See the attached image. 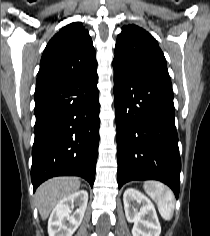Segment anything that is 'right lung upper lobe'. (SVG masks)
Listing matches in <instances>:
<instances>
[{
	"mask_svg": "<svg viewBox=\"0 0 210 236\" xmlns=\"http://www.w3.org/2000/svg\"><path fill=\"white\" fill-rule=\"evenodd\" d=\"M96 68L95 49L88 31L80 22L68 24L54 35L43 52L35 93Z\"/></svg>",
	"mask_w": 210,
	"mask_h": 236,
	"instance_id": "right-lung-upper-lobe-1",
	"label": "right lung upper lobe"
}]
</instances>
